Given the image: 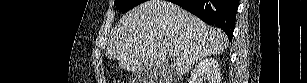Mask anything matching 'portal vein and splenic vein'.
I'll return each instance as SVG.
<instances>
[{
    "label": "portal vein and splenic vein",
    "mask_w": 307,
    "mask_h": 83,
    "mask_svg": "<svg viewBox=\"0 0 307 83\" xmlns=\"http://www.w3.org/2000/svg\"><path fill=\"white\" fill-rule=\"evenodd\" d=\"M169 53H170V55L174 56V55L177 54V51L174 50V49H171V50L169 51Z\"/></svg>",
    "instance_id": "obj_1"
}]
</instances>
